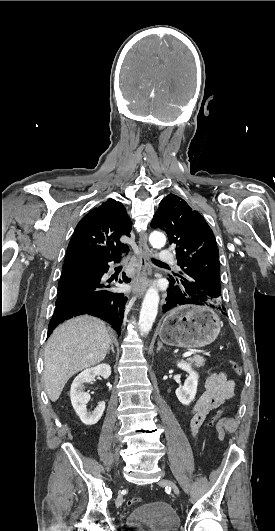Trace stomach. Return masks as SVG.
I'll use <instances>...</instances> for the list:
<instances>
[{"label":"stomach","mask_w":275,"mask_h":531,"mask_svg":"<svg viewBox=\"0 0 275 531\" xmlns=\"http://www.w3.org/2000/svg\"><path fill=\"white\" fill-rule=\"evenodd\" d=\"M222 323L213 309L201 307L200 301H181L180 307L162 319L159 337L170 347L199 349L217 339Z\"/></svg>","instance_id":"0dacf381"}]
</instances>
